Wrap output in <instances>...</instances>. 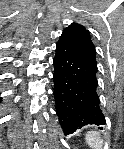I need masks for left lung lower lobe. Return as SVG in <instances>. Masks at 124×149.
Listing matches in <instances>:
<instances>
[{
  "label": "left lung lower lobe",
  "instance_id": "0a47b994",
  "mask_svg": "<svg viewBox=\"0 0 124 149\" xmlns=\"http://www.w3.org/2000/svg\"><path fill=\"white\" fill-rule=\"evenodd\" d=\"M53 65L56 112L64 134L87 124L105 125L96 92L97 62L61 36Z\"/></svg>",
  "mask_w": 124,
  "mask_h": 149
}]
</instances>
